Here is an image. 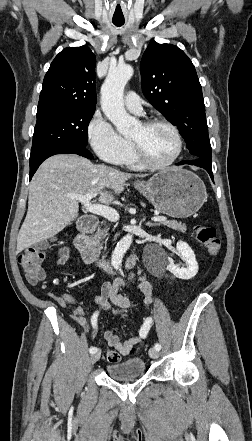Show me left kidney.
Segmentation results:
<instances>
[{
    "mask_svg": "<svg viewBox=\"0 0 252 441\" xmlns=\"http://www.w3.org/2000/svg\"><path fill=\"white\" fill-rule=\"evenodd\" d=\"M177 251L186 262V268L176 266L171 258H168L167 270L179 279L189 280L198 272V263L191 247L183 241L177 242Z\"/></svg>",
    "mask_w": 252,
    "mask_h": 441,
    "instance_id": "5707ae66",
    "label": "left kidney"
}]
</instances>
